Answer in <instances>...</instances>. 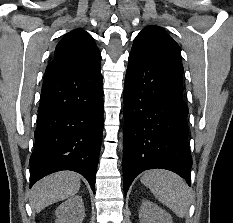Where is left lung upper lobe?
Segmentation results:
<instances>
[{
	"label": "left lung upper lobe",
	"mask_w": 233,
	"mask_h": 223,
	"mask_svg": "<svg viewBox=\"0 0 233 223\" xmlns=\"http://www.w3.org/2000/svg\"><path fill=\"white\" fill-rule=\"evenodd\" d=\"M162 61L183 71L180 59L181 48L162 27L148 26L134 40Z\"/></svg>",
	"instance_id": "obj_1"
}]
</instances>
